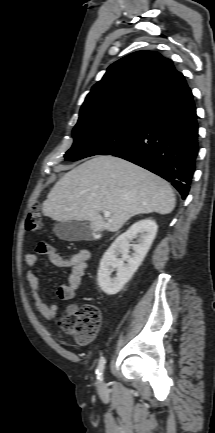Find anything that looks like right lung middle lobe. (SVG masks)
<instances>
[{
    "instance_id": "obj_1",
    "label": "right lung middle lobe",
    "mask_w": 215,
    "mask_h": 433,
    "mask_svg": "<svg viewBox=\"0 0 215 433\" xmlns=\"http://www.w3.org/2000/svg\"><path fill=\"white\" fill-rule=\"evenodd\" d=\"M144 115H123L78 122L73 129L74 143L64 157L77 161L93 155L108 154L130 143L140 131Z\"/></svg>"
}]
</instances>
